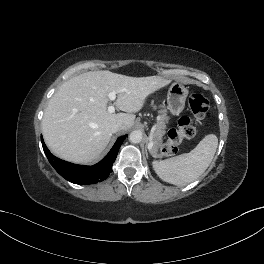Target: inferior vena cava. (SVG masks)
<instances>
[{"label": "inferior vena cava", "mask_w": 264, "mask_h": 264, "mask_svg": "<svg viewBox=\"0 0 264 264\" xmlns=\"http://www.w3.org/2000/svg\"><path fill=\"white\" fill-rule=\"evenodd\" d=\"M124 128V125L122 123H116L112 126V131L117 132L119 130H122Z\"/></svg>", "instance_id": "obj_1"}]
</instances>
